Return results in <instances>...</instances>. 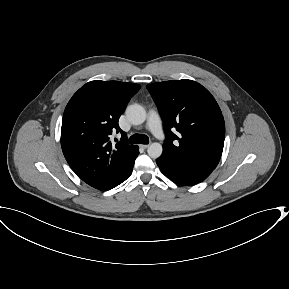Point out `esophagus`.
Masks as SVG:
<instances>
[{
    "instance_id": "esophagus-1",
    "label": "esophagus",
    "mask_w": 289,
    "mask_h": 289,
    "mask_svg": "<svg viewBox=\"0 0 289 289\" xmlns=\"http://www.w3.org/2000/svg\"><path fill=\"white\" fill-rule=\"evenodd\" d=\"M140 147L143 148V149H147L149 147V145L148 144H143V145H140Z\"/></svg>"
}]
</instances>
